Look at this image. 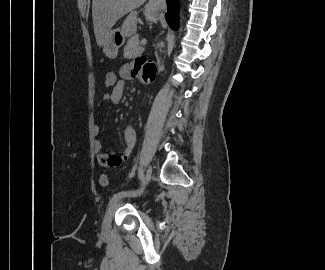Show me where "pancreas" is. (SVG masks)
<instances>
[{
    "label": "pancreas",
    "instance_id": "1",
    "mask_svg": "<svg viewBox=\"0 0 325 270\" xmlns=\"http://www.w3.org/2000/svg\"><path fill=\"white\" fill-rule=\"evenodd\" d=\"M141 42L137 36L131 37L124 48V57L127 59H133L143 52Z\"/></svg>",
    "mask_w": 325,
    "mask_h": 270
}]
</instances>
